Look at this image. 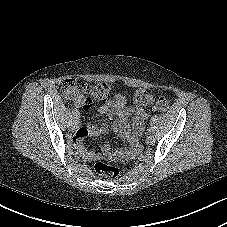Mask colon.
<instances>
[{
	"mask_svg": "<svg viewBox=\"0 0 227 227\" xmlns=\"http://www.w3.org/2000/svg\"><path fill=\"white\" fill-rule=\"evenodd\" d=\"M80 91H83L87 99L91 101V99H105L111 93L112 89L106 83L81 84L75 78H67L61 85V92L65 97L74 98ZM134 99L146 105L153 102V95L147 90L139 89L135 92ZM155 107L159 111L165 112L169 109V102L164 98H160L156 102ZM94 170L109 179H116L120 175V170L117 167L101 161L95 163Z\"/></svg>",
	"mask_w": 227,
	"mask_h": 227,
	"instance_id": "colon-1",
	"label": "colon"
}]
</instances>
